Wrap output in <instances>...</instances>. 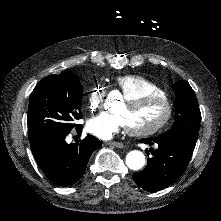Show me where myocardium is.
Segmentation results:
<instances>
[{
    "label": "myocardium",
    "instance_id": "1",
    "mask_svg": "<svg viewBox=\"0 0 221 221\" xmlns=\"http://www.w3.org/2000/svg\"><path fill=\"white\" fill-rule=\"evenodd\" d=\"M151 108H155L156 110V116L152 121L150 120L133 125L141 111ZM128 109L132 114V121L127 130L129 134L134 136L148 134L149 132H155L160 128H164L172 117L171 105L162 95H155L146 100H140L130 104Z\"/></svg>",
    "mask_w": 221,
    "mask_h": 221
}]
</instances>
